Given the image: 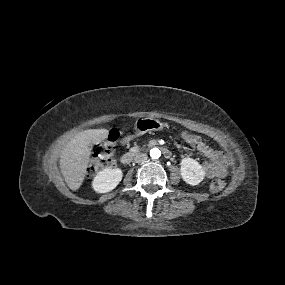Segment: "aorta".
Masks as SVG:
<instances>
[{
	"mask_svg": "<svg viewBox=\"0 0 285 285\" xmlns=\"http://www.w3.org/2000/svg\"><path fill=\"white\" fill-rule=\"evenodd\" d=\"M161 156V151L158 148H152L150 150V157L152 159H158Z\"/></svg>",
	"mask_w": 285,
	"mask_h": 285,
	"instance_id": "aorta-1",
	"label": "aorta"
}]
</instances>
